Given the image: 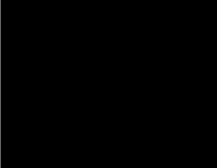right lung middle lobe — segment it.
<instances>
[{"instance_id":"1","label":"right lung middle lobe","mask_w":217,"mask_h":168,"mask_svg":"<svg viewBox=\"0 0 217 168\" xmlns=\"http://www.w3.org/2000/svg\"><path fill=\"white\" fill-rule=\"evenodd\" d=\"M63 70L59 79L56 81V89L57 90H64L65 88V81H71L78 69V58H75L73 54H69L66 57H64L63 61ZM69 66V67H67Z\"/></svg>"}]
</instances>
